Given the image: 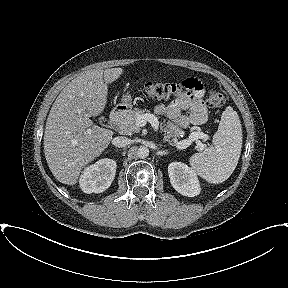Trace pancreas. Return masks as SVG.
<instances>
[{"label":"pancreas","mask_w":288,"mask_h":288,"mask_svg":"<svg viewBox=\"0 0 288 288\" xmlns=\"http://www.w3.org/2000/svg\"><path fill=\"white\" fill-rule=\"evenodd\" d=\"M143 113L144 111L138 108L129 110L118 120L119 133L123 135H131L139 132V126H137L136 118ZM160 128L164 132V140L170 145L177 146L178 137L182 136L184 132L172 122L161 124Z\"/></svg>","instance_id":"cf45deb5"}]
</instances>
